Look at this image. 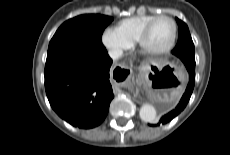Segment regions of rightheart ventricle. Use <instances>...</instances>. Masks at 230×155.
I'll return each instance as SVG.
<instances>
[{
    "label": "right heart ventricle",
    "mask_w": 230,
    "mask_h": 155,
    "mask_svg": "<svg viewBox=\"0 0 230 155\" xmlns=\"http://www.w3.org/2000/svg\"><path fill=\"white\" fill-rule=\"evenodd\" d=\"M156 15H138L121 20L115 31L130 44L136 43L144 26Z\"/></svg>",
    "instance_id": "e07e8e85"
}]
</instances>
